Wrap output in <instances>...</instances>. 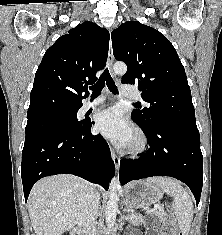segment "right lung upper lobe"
<instances>
[{
    "label": "right lung upper lobe",
    "instance_id": "1",
    "mask_svg": "<svg viewBox=\"0 0 222 235\" xmlns=\"http://www.w3.org/2000/svg\"><path fill=\"white\" fill-rule=\"evenodd\" d=\"M108 48L109 32L89 21L57 39L35 74L28 119L78 105L88 96V85L96 82V72L104 68Z\"/></svg>",
    "mask_w": 222,
    "mask_h": 235
}]
</instances>
